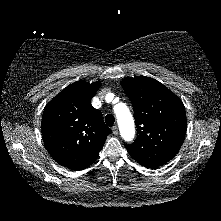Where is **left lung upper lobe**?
I'll use <instances>...</instances> for the list:
<instances>
[{
  "mask_svg": "<svg viewBox=\"0 0 221 221\" xmlns=\"http://www.w3.org/2000/svg\"><path fill=\"white\" fill-rule=\"evenodd\" d=\"M132 102L138 136L125 145L128 153L145 167L170 161L186 134V112L182 101L166 86L150 77L121 81Z\"/></svg>",
  "mask_w": 221,
  "mask_h": 221,
  "instance_id": "obj_1",
  "label": "left lung upper lobe"
}]
</instances>
